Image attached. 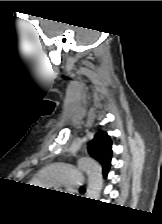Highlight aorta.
<instances>
[{
    "instance_id": "obj_1",
    "label": "aorta",
    "mask_w": 162,
    "mask_h": 224,
    "mask_svg": "<svg viewBox=\"0 0 162 224\" xmlns=\"http://www.w3.org/2000/svg\"><path fill=\"white\" fill-rule=\"evenodd\" d=\"M78 166L88 175L86 198L98 200L103 186L101 166L95 160L88 157L80 158Z\"/></svg>"
}]
</instances>
